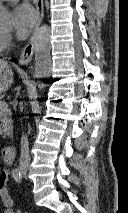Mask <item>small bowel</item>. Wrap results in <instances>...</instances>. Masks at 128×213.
Here are the masks:
<instances>
[{
	"label": "small bowel",
	"instance_id": "c3829d8e",
	"mask_svg": "<svg viewBox=\"0 0 128 213\" xmlns=\"http://www.w3.org/2000/svg\"><path fill=\"white\" fill-rule=\"evenodd\" d=\"M9 179L10 171L8 169L0 172V200L5 208L3 213H14V200L7 187Z\"/></svg>",
	"mask_w": 128,
	"mask_h": 213
}]
</instances>
